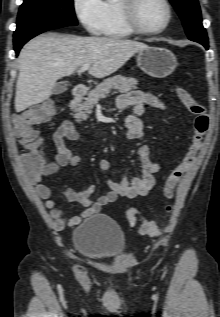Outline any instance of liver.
Listing matches in <instances>:
<instances>
[{"label": "liver", "mask_w": 220, "mask_h": 317, "mask_svg": "<svg viewBox=\"0 0 220 317\" xmlns=\"http://www.w3.org/2000/svg\"><path fill=\"white\" fill-rule=\"evenodd\" d=\"M147 47L142 42L114 37L40 35L20 51L15 110L21 112L47 100L57 80L72 75L80 66L90 64L89 74L104 78Z\"/></svg>", "instance_id": "liver-1"}]
</instances>
